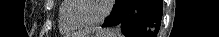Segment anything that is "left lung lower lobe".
<instances>
[{
    "mask_svg": "<svg viewBox=\"0 0 219 37\" xmlns=\"http://www.w3.org/2000/svg\"><path fill=\"white\" fill-rule=\"evenodd\" d=\"M162 18V0H116L103 27L121 26L127 37H156Z\"/></svg>",
    "mask_w": 219,
    "mask_h": 37,
    "instance_id": "obj_1",
    "label": "left lung lower lobe"
}]
</instances>
